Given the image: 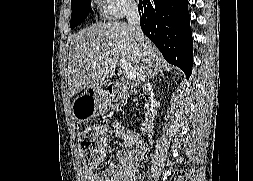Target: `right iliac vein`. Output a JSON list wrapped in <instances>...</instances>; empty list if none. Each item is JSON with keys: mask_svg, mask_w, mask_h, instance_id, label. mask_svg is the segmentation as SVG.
<instances>
[{"mask_svg": "<svg viewBox=\"0 0 253 181\" xmlns=\"http://www.w3.org/2000/svg\"><path fill=\"white\" fill-rule=\"evenodd\" d=\"M148 181H152V179H151V178H149V179H148Z\"/></svg>", "mask_w": 253, "mask_h": 181, "instance_id": "1", "label": "right iliac vein"}]
</instances>
